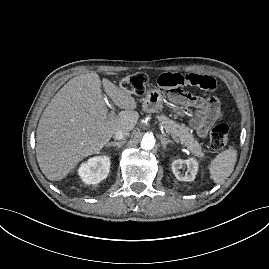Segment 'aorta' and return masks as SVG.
<instances>
[{
	"label": "aorta",
	"instance_id": "1",
	"mask_svg": "<svg viewBox=\"0 0 269 269\" xmlns=\"http://www.w3.org/2000/svg\"><path fill=\"white\" fill-rule=\"evenodd\" d=\"M140 146L144 150H152L155 146V139L152 135H144L141 140Z\"/></svg>",
	"mask_w": 269,
	"mask_h": 269
}]
</instances>
